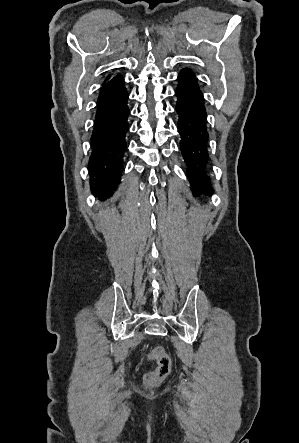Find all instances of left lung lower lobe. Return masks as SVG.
I'll return each instance as SVG.
<instances>
[{
    "instance_id": "0a47b994",
    "label": "left lung lower lobe",
    "mask_w": 299,
    "mask_h": 443,
    "mask_svg": "<svg viewBox=\"0 0 299 443\" xmlns=\"http://www.w3.org/2000/svg\"><path fill=\"white\" fill-rule=\"evenodd\" d=\"M176 111L179 115L178 130L182 136L181 151L188 165V177L193 195L212 194L213 188L207 176L209 155L207 143L206 112L203 94L195 74L188 68L178 76Z\"/></svg>"
}]
</instances>
